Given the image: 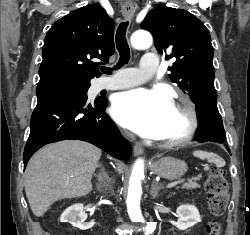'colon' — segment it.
<instances>
[{"label":"colon","mask_w":250,"mask_h":235,"mask_svg":"<svg viewBox=\"0 0 250 235\" xmlns=\"http://www.w3.org/2000/svg\"><path fill=\"white\" fill-rule=\"evenodd\" d=\"M208 207L214 217H220L226 210L229 194L228 182L225 177V170L221 168L212 169L205 181ZM221 224L218 221H211L207 225L208 235H220Z\"/></svg>","instance_id":"obj_1"}]
</instances>
